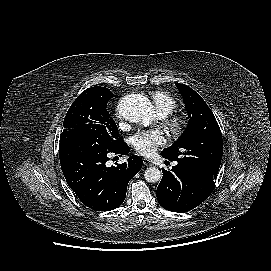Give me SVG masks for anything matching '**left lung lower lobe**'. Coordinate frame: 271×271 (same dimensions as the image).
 <instances>
[{"label":"left lung lower lobe","mask_w":271,"mask_h":271,"mask_svg":"<svg viewBox=\"0 0 271 271\" xmlns=\"http://www.w3.org/2000/svg\"><path fill=\"white\" fill-rule=\"evenodd\" d=\"M162 171L156 196L159 204L172 212L192 210L208 198L215 187L214 180L179 164L171 171Z\"/></svg>","instance_id":"obj_1"}]
</instances>
